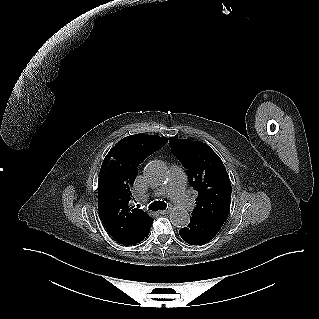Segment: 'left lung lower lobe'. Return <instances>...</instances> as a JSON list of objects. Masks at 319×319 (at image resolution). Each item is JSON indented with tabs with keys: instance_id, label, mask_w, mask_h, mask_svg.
<instances>
[{
	"instance_id": "1",
	"label": "left lung lower lobe",
	"mask_w": 319,
	"mask_h": 319,
	"mask_svg": "<svg viewBox=\"0 0 319 319\" xmlns=\"http://www.w3.org/2000/svg\"><path fill=\"white\" fill-rule=\"evenodd\" d=\"M224 221L211 217L192 216L190 224L180 229L179 234L188 244L203 245L219 232Z\"/></svg>"
}]
</instances>
